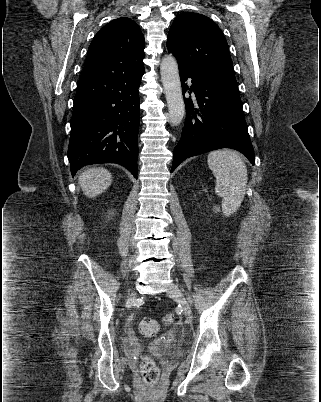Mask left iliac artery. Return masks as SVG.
<instances>
[{
    "label": "left iliac artery",
    "instance_id": "1",
    "mask_svg": "<svg viewBox=\"0 0 321 402\" xmlns=\"http://www.w3.org/2000/svg\"><path fill=\"white\" fill-rule=\"evenodd\" d=\"M188 300H189L190 303L192 302L190 296H188Z\"/></svg>",
    "mask_w": 321,
    "mask_h": 402
}]
</instances>
